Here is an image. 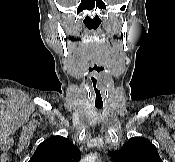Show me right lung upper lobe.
I'll use <instances>...</instances> for the list:
<instances>
[{
    "label": "right lung upper lobe",
    "instance_id": "1",
    "mask_svg": "<svg viewBox=\"0 0 175 162\" xmlns=\"http://www.w3.org/2000/svg\"><path fill=\"white\" fill-rule=\"evenodd\" d=\"M81 153L68 138L53 136L43 141L29 162H79Z\"/></svg>",
    "mask_w": 175,
    "mask_h": 162
}]
</instances>
